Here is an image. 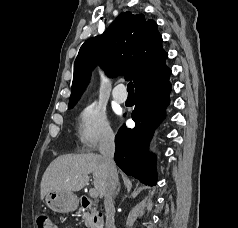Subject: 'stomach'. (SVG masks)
<instances>
[{
	"label": "stomach",
	"mask_w": 238,
	"mask_h": 228,
	"mask_svg": "<svg viewBox=\"0 0 238 228\" xmlns=\"http://www.w3.org/2000/svg\"><path fill=\"white\" fill-rule=\"evenodd\" d=\"M47 206L55 212L68 213L77 209L79 200L73 192L50 191L46 194Z\"/></svg>",
	"instance_id": "0dacf381"
}]
</instances>
